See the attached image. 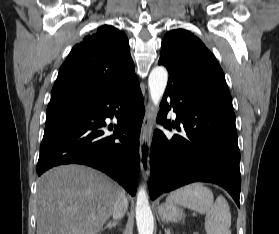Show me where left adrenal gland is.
Returning <instances> with one entry per match:
<instances>
[{"mask_svg": "<svg viewBox=\"0 0 279 234\" xmlns=\"http://www.w3.org/2000/svg\"><path fill=\"white\" fill-rule=\"evenodd\" d=\"M165 233H166V234H171L170 229H169V228H168V229H165Z\"/></svg>", "mask_w": 279, "mask_h": 234, "instance_id": "left-adrenal-gland-1", "label": "left adrenal gland"}]
</instances>
